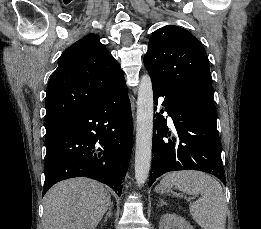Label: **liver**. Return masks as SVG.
<instances>
[{
    "instance_id": "6515ba94",
    "label": "liver",
    "mask_w": 261,
    "mask_h": 229,
    "mask_svg": "<svg viewBox=\"0 0 261 229\" xmlns=\"http://www.w3.org/2000/svg\"><path fill=\"white\" fill-rule=\"evenodd\" d=\"M43 229H96L111 201L101 183L67 179L44 197Z\"/></svg>"
}]
</instances>
